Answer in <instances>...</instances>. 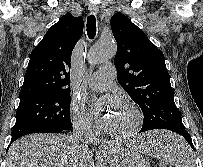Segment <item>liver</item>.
<instances>
[{
  "label": "liver",
  "instance_id": "1",
  "mask_svg": "<svg viewBox=\"0 0 203 167\" xmlns=\"http://www.w3.org/2000/svg\"><path fill=\"white\" fill-rule=\"evenodd\" d=\"M135 147H140L139 142ZM110 146L105 154L112 165ZM6 167H95L92 152L79 150L71 136L62 134H30L14 142L6 157Z\"/></svg>",
  "mask_w": 203,
  "mask_h": 167
}]
</instances>
